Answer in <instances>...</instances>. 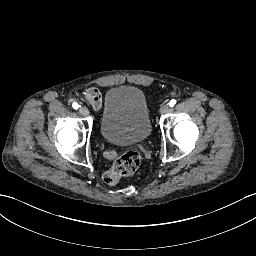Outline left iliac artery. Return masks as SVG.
Masks as SVG:
<instances>
[{
    "mask_svg": "<svg viewBox=\"0 0 256 256\" xmlns=\"http://www.w3.org/2000/svg\"><path fill=\"white\" fill-rule=\"evenodd\" d=\"M175 104H176V100H175V99H172V100L169 102V106H170V107H173Z\"/></svg>",
    "mask_w": 256,
    "mask_h": 256,
    "instance_id": "1",
    "label": "left iliac artery"
}]
</instances>
